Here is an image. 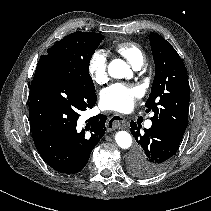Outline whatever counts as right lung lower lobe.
I'll list each match as a JSON object with an SVG mask.
<instances>
[{"label": "right lung lower lobe", "mask_w": 211, "mask_h": 211, "mask_svg": "<svg viewBox=\"0 0 211 211\" xmlns=\"http://www.w3.org/2000/svg\"><path fill=\"white\" fill-rule=\"evenodd\" d=\"M29 99L32 136L44 162L61 173L80 172L106 130L103 114L83 126L78 120L80 111L95 105V92L50 67H37Z\"/></svg>", "instance_id": "right-lung-lower-lobe-1"}]
</instances>
